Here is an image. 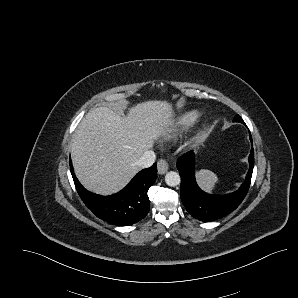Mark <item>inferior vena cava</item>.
<instances>
[{
  "instance_id": "inferior-vena-cava-1",
  "label": "inferior vena cava",
  "mask_w": 298,
  "mask_h": 298,
  "mask_svg": "<svg viewBox=\"0 0 298 298\" xmlns=\"http://www.w3.org/2000/svg\"><path fill=\"white\" fill-rule=\"evenodd\" d=\"M156 158V154L154 150L150 149L144 152L142 157L137 161V165H139L141 168H147L151 166Z\"/></svg>"
}]
</instances>
